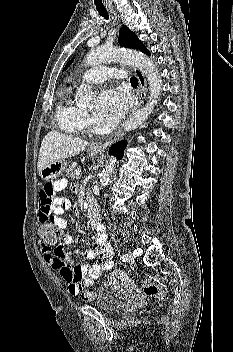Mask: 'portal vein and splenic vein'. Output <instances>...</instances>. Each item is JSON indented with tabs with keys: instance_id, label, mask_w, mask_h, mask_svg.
Segmentation results:
<instances>
[{
	"instance_id": "1",
	"label": "portal vein and splenic vein",
	"mask_w": 233,
	"mask_h": 352,
	"mask_svg": "<svg viewBox=\"0 0 233 352\" xmlns=\"http://www.w3.org/2000/svg\"><path fill=\"white\" fill-rule=\"evenodd\" d=\"M80 172H81L80 169H77V170L75 171V173H76V175H77V178L80 176Z\"/></svg>"
}]
</instances>
